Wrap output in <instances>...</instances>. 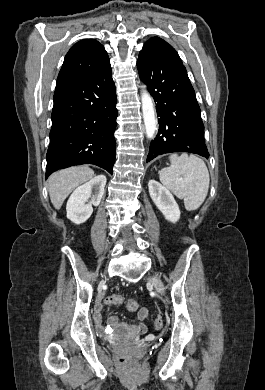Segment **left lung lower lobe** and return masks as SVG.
Here are the masks:
<instances>
[{
	"label": "left lung lower lobe",
	"instance_id": "0a47b994",
	"mask_svg": "<svg viewBox=\"0 0 265 390\" xmlns=\"http://www.w3.org/2000/svg\"><path fill=\"white\" fill-rule=\"evenodd\" d=\"M137 67L141 80L157 103L160 117L159 131L151 141L147 162L174 152L209 158L200 107L184 65L139 55Z\"/></svg>",
	"mask_w": 265,
	"mask_h": 390
}]
</instances>
